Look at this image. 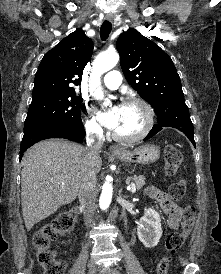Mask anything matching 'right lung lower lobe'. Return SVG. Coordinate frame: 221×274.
<instances>
[{
  "mask_svg": "<svg viewBox=\"0 0 221 274\" xmlns=\"http://www.w3.org/2000/svg\"><path fill=\"white\" fill-rule=\"evenodd\" d=\"M85 137L83 127L71 126L63 123H47L24 130L20 147V159L23 153L38 141L48 138H65L81 141Z\"/></svg>",
  "mask_w": 221,
  "mask_h": 274,
  "instance_id": "obj_1",
  "label": "right lung lower lobe"
}]
</instances>
